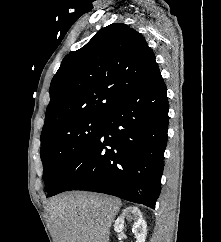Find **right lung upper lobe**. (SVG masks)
<instances>
[{
    "instance_id": "right-lung-upper-lobe-1",
    "label": "right lung upper lobe",
    "mask_w": 221,
    "mask_h": 242,
    "mask_svg": "<svg viewBox=\"0 0 221 242\" xmlns=\"http://www.w3.org/2000/svg\"><path fill=\"white\" fill-rule=\"evenodd\" d=\"M143 36L113 23L82 48L66 55L50 85L42 134L86 116H103L144 87L157 73Z\"/></svg>"
}]
</instances>
